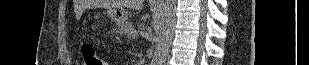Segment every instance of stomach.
I'll return each instance as SVG.
<instances>
[{
	"mask_svg": "<svg viewBox=\"0 0 309 65\" xmlns=\"http://www.w3.org/2000/svg\"><path fill=\"white\" fill-rule=\"evenodd\" d=\"M106 12L118 26H125L128 24L127 11L123 7L109 6L106 8Z\"/></svg>",
	"mask_w": 309,
	"mask_h": 65,
	"instance_id": "1",
	"label": "stomach"
}]
</instances>
